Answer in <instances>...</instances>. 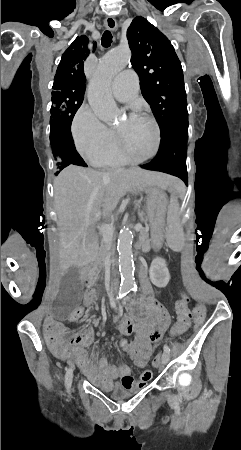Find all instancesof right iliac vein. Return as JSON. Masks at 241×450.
I'll return each instance as SVG.
<instances>
[{
    "label": "right iliac vein",
    "instance_id": "1",
    "mask_svg": "<svg viewBox=\"0 0 241 450\" xmlns=\"http://www.w3.org/2000/svg\"><path fill=\"white\" fill-rule=\"evenodd\" d=\"M72 384V370L69 369L66 373V377H65V386L66 388L69 390Z\"/></svg>",
    "mask_w": 241,
    "mask_h": 450
}]
</instances>
